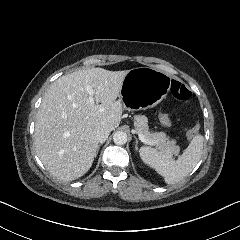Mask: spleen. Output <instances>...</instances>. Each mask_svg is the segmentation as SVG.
I'll list each match as a JSON object with an SVG mask.
<instances>
[{
  "instance_id": "obj_1",
  "label": "spleen",
  "mask_w": 240,
  "mask_h": 240,
  "mask_svg": "<svg viewBox=\"0 0 240 240\" xmlns=\"http://www.w3.org/2000/svg\"><path fill=\"white\" fill-rule=\"evenodd\" d=\"M203 141L202 135L195 136L177 160L149 146L141 147L139 154L142 161L163 176L167 184H175L187 176L199 162Z\"/></svg>"
}]
</instances>
